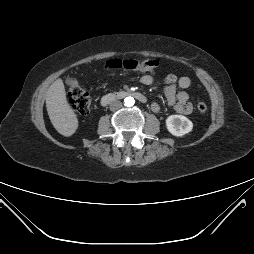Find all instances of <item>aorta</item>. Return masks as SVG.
I'll use <instances>...</instances> for the list:
<instances>
[{"label":"aorta","instance_id":"obj_1","mask_svg":"<svg viewBox=\"0 0 254 254\" xmlns=\"http://www.w3.org/2000/svg\"><path fill=\"white\" fill-rule=\"evenodd\" d=\"M135 104V100L133 97H126L124 99V105L127 106V107H131Z\"/></svg>","mask_w":254,"mask_h":254}]
</instances>
